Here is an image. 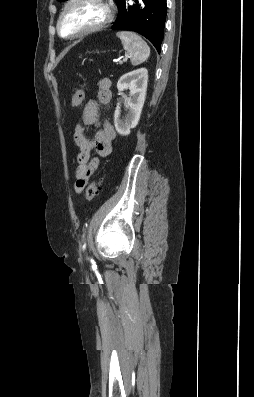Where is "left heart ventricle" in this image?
<instances>
[{
	"instance_id": "obj_1",
	"label": "left heart ventricle",
	"mask_w": 254,
	"mask_h": 397,
	"mask_svg": "<svg viewBox=\"0 0 254 397\" xmlns=\"http://www.w3.org/2000/svg\"><path fill=\"white\" fill-rule=\"evenodd\" d=\"M105 14V8L100 3L81 0L66 12L61 22V31L64 35L75 34L101 22Z\"/></svg>"
}]
</instances>
